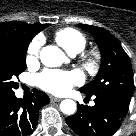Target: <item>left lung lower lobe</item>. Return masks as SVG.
<instances>
[{
	"label": "left lung lower lobe",
	"mask_w": 136,
	"mask_h": 136,
	"mask_svg": "<svg viewBox=\"0 0 136 136\" xmlns=\"http://www.w3.org/2000/svg\"><path fill=\"white\" fill-rule=\"evenodd\" d=\"M130 100L131 96L120 94L97 95L93 107L79 105L66 122L80 136H110L120 126Z\"/></svg>",
	"instance_id": "1"
}]
</instances>
